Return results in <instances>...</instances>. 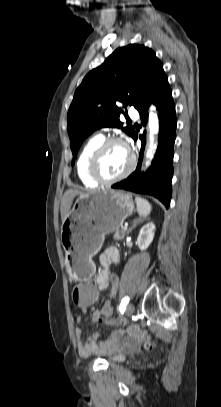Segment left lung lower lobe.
Instances as JSON below:
<instances>
[{
  "mask_svg": "<svg viewBox=\"0 0 221 407\" xmlns=\"http://www.w3.org/2000/svg\"><path fill=\"white\" fill-rule=\"evenodd\" d=\"M151 102L157 106L160 124L159 145L152 165L145 174L140 173L145 145L144 133L139 137L142 141V148L136 170L125 180L112 185V188L152 195L168 208L172 194L173 146L176 138L177 121L172 91L167 77L159 82L150 100L138 110L143 125L147 122V110ZM132 138L136 140L138 135L135 133Z\"/></svg>",
  "mask_w": 221,
  "mask_h": 407,
  "instance_id": "1",
  "label": "left lung lower lobe"
}]
</instances>
